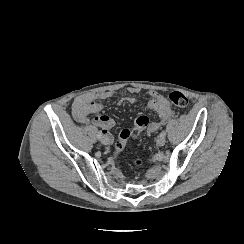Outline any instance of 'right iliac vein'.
<instances>
[{
  "label": "right iliac vein",
  "mask_w": 244,
  "mask_h": 244,
  "mask_svg": "<svg viewBox=\"0 0 244 244\" xmlns=\"http://www.w3.org/2000/svg\"><path fill=\"white\" fill-rule=\"evenodd\" d=\"M109 142H110V138H109V136H107V135H105V136L101 139V143H102L103 145H108Z\"/></svg>",
  "instance_id": "right-iliac-vein-1"
}]
</instances>
